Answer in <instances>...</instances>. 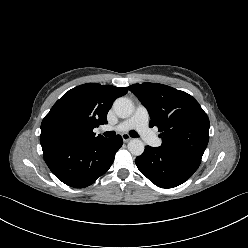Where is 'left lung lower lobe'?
I'll use <instances>...</instances> for the list:
<instances>
[{
	"label": "left lung lower lobe",
	"mask_w": 248,
	"mask_h": 248,
	"mask_svg": "<svg viewBox=\"0 0 248 248\" xmlns=\"http://www.w3.org/2000/svg\"><path fill=\"white\" fill-rule=\"evenodd\" d=\"M201 159L145 146L136 158L139 171L161 188H173L188 180L197 170Z\"/></svg>",
	"instance_id": "1"
}]
</instances>
